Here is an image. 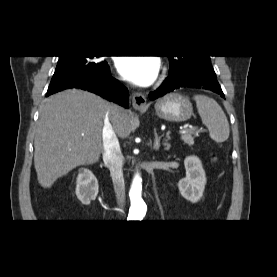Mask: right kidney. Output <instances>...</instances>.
Instances as JSON below:
<instances>
[{
  "mask_svg": "<svg viewBox=\"0 0 277 277\" xmlns=\"http://www.w3.org/2000/svg\"><path fill=\"white\" fill-rule=\"evenodd\" d=\"M98 181L94 174L87 168L79 170L76 179V196L84 205H89L98 194Z\"/></svg>",
  "mask_w": 277,
  "mask_h": 277,
  "instance_id": "obj_1",
  "label": "right kidney"
}]
</instances>
